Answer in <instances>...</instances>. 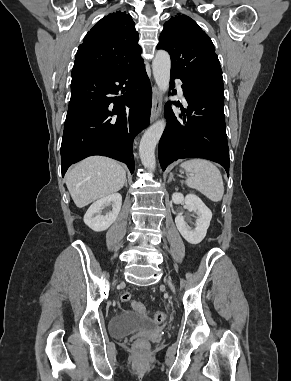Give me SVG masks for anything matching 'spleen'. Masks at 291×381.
<instances>
[{"label": "spleen", "instance_id": "3e777b00", "mask_svg": "<svg viewBox=\"0 0 291 381\" xmlns=\"http://www.w3.org/2000/svg\"><path fill=\"white\" fill-rule=\"evenodd\" d=\"M181 168L191 175L186 180L187 186L194 188L213 202L221 201L224 194L222 175L210 161L191 159L183 162Z\"/></svg>", "mask_w": 291, "mask_h": 381}]
</instances>
